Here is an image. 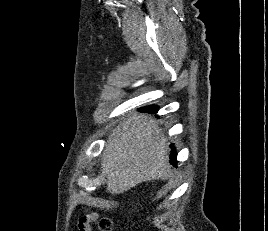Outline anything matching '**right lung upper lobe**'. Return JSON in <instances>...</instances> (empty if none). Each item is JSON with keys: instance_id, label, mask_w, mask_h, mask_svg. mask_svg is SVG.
I'll use <instances>...</instances> for the list:
<instances>
[{"instance_id": "1", "label": "right lung upper lobe", "mask_w": 268, "mask_h": 231, "mask_svg": "<svg viewBox=\"0 0 268 231\" xmlns=\"http://www.w3.org/2000/svg\"><path fill=\"white\" fill-rule=\"evenodd\" d=\"M145 109H148V110H151V111H157L158 108L156 106H148V107H145Z\"/></svg>"}]
</instances>
